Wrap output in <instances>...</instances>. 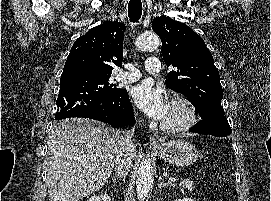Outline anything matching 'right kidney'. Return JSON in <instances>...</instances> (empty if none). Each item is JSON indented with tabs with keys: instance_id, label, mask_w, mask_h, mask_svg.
Instances as JSON below:
<instances>
[{
	"instance_id": "1",
	"label": "right kidney",
	"mask_w": 271,
	"mask_h": 201,
	"mask_svg": "<svg viewBox=\"0 0 271 201\" xmlns=\"http://www.w3.org/2000/svg\"><path fill=\"white\" fill-rule=\"evenodd\" d=\"M87 201H111V198L105 193L101 196H92Z\"/></svg>"
}]
</instances>
